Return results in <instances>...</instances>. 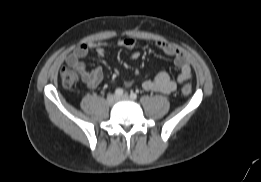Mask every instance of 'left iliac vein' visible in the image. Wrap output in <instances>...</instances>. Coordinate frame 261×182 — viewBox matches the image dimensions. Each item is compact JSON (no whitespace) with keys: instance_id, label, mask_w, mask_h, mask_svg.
<instances>
[{"instance_id":"4c4485c4","label":"left iliac vein","mask_w":261,"mask_h":182,"mask_svg":"<svg viewBox=\"0 0 261 182\" xmlns=\"http://www.w3.org/2000/svg\"><path fill=\"white\" fill-rule=\"evenodd\" d=\"M128 99H129V96L127 94L118 98V100H128Z\"/></svg>"}]
</instances>
